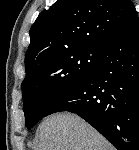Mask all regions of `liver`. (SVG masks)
<instances>
[{"label":"liver","mask_w":139,"mask_h":150,"mask_svg":"<svg viewBox=\"0 0 139 150\" xmlns=\"http://www.w3.org/2000/svg\"><path fill=\"white\" fill-rule=\"evenodd\" d=\"M35 150H113L93 127L71 113L47 117L37 131Z\"/></svg>","instance_id":"1"}]
</instances>
